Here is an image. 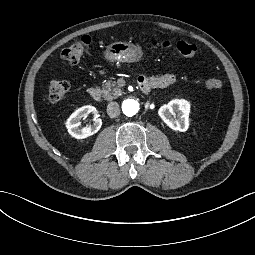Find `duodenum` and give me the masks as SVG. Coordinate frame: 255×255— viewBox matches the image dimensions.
I'll list each match as a JSON object with an SVG mask.
<instances>
[{"label":"duodenum","mask_w":255,"mask_h":255,"mask_svg":"<svg viewBox=\"0 0 255 255\" xmlns=\"http://www.w3.org/2000/svg\"><path fill=\"white\" fill-rule=\"evenodd\" d=\"M139 88L143 93H149L152 87V83L144 78H140L138 81ZM88 95L98 101L101 98V92L97 87H90L87 89Z\"/></svg>","instance_id":"duodenum-1"}]
</instances>
